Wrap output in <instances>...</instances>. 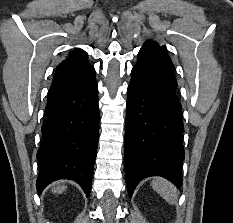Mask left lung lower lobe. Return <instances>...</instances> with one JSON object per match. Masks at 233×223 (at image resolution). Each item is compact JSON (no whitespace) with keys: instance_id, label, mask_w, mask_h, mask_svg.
<instances>
[{"instance_id":"0a47b994","label":"left lung lower lobe","mask_w":233,"mask_h":223,"mask_svg":"<svg viewBox=\"0 0 233 223\" xmlns=\"http://www.w3.org/2000/svg\"><path fill=\"white\" fill-rule=\"evenodd\" d=\"M174 65L165 46L147 41L131 72L126 107L124 166L131 197L146 177L161 176L182 186L184 147L181 103Z\"/></svg>"}]
</instances>
